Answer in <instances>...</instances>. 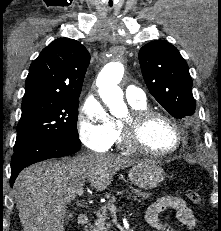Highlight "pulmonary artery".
Here are the masks:
<instances>
[{
	"mask_svg": "<svg viewBox=\"0 0 221 231\" xmlns=\"http://www.w3.org/2000/svg\"><path fill=\"white\" fill-rule=\"evenodd\" d=\"M126 98L129 102H145L146 95L135 85H128L125 88Z\"/></svg>",
	"mask_w": 221,
	"mask_h": 231,
	"instance_id": "pulmonary-artery-1",
	"label": "pulmonary artery"
}]
</instances>
